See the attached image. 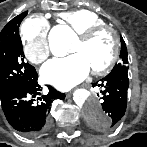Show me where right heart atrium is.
<instances>
[{
  "mask_svg": "<svg viewBox=\"0 0 147 147\" xmlns=\"http://www.w3.org/2000/svg\"><path fill=\"white\" fill-rule=\"evenodd\" d=\"M49 30L50 25L48 21L41 16H34L23 23L21 38L24 54L32 63H42L49 56Z\"/></svg>",
  "mask_w": 147,
  "mask_h": 147,
  "instance_id": "d8ad5b80",
  "label": "right heart atrium"
}]
</instances>
